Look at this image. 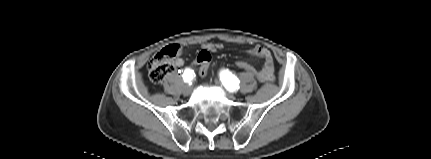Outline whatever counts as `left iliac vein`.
<instances>
[{"label":"left iliac vein","instance_id":"obj_1","mask_svg":"<svg viewBox=\"0 0 431 159\" xmlns=\"http://www.w3.org/2000/svg\"><path fill=\"white\" fill-rule=\"evenodd\" d=\"M215 84L217 85V86H221V82L219 81V80H215ZM227 97L229 98V99H233L234 98V95L232 94V93H227Z\"/></svg>","mask_w":431,"mask_h":159}]
</instances>
